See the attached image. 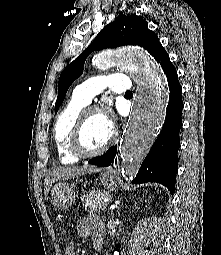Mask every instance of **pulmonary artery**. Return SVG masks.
I'll return each mask as SVG.
<instances>
[{"label":"pulmonary artery","instance_id":"obj_1","mask_svg":"<svg viewBox=\"0 0 221 255\" xmlns=\"http://www.w3.org/2000/svg\"><path fill=\"white\" fill-rule=\"evenodd\" d=\"M107 87L116 93H126L131 89V82L125 74L92 77L74 89L72 101L85 106L91 102L93 97L102 93Z\"/></svg>","mask_w":221,"mask_h":255}]
</instances>
